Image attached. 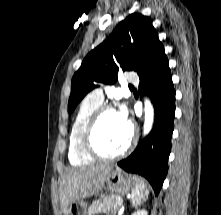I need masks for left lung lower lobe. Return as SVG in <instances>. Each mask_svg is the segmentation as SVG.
<instances>
[{
  "label": "left lung lower lobe",
  "instance_id": "1",
  "mask_svg": "<svg viewBox=\"0 0 221 215\" xmlns=\"http://www.w3.org/2000/svg\"><path fill=\"white\" fill-rule=\"evenodd\" d=\"M139 78L140 93L147 92L153 103L155 123L149 135L118 166L144 176L158 195L168 171L175 114V90L164 48Z\"/></svg>",
  "mask_w": 221,
  "mask_h": 215
}]
</instances>
